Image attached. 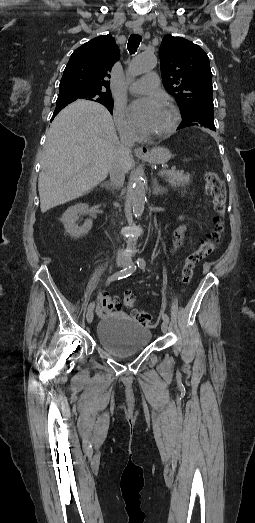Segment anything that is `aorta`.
I'll list each match as a JSON object with an SVG mask.
<instances>
[{"mask_svg": "<svg viewBox=\"0 0 255 523\" xmlns=\"http://www.w3.org/2000/svg\"><path fill=\"white\" fill-rule=\"evenodd\" d=\"M157 57L151 53H143L136 56L130 63L128 73L130 76H138L153 69L157 65ZM133 213L136 218L141 217L146 201L145 182L136 175L130 192Z\"/></svg>", "mask_w": 255, "mask_h": 523, "instance_id": "obj_1", "label": "aorta"}]
</instances>
